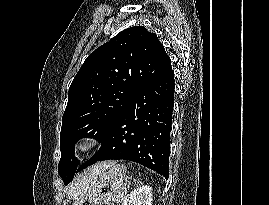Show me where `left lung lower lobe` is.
<instances>
[{
  "label": "left lung lower lobe",
  "mask_w": 269,
  "mask_h": 205,
  "mask_svg": "<svg viewBox=\"0 0 269 205\" xmlns=\"http://www.w3.org/2000/svg\"><path fill=\"white\" fill-rule=\"evenodd\" d=\"M174 103V71L170 58L157 77L118 116L101 140L99 151L77 172L102 160H130L166 179Z\"/></svg>",
  "instance_id": "left-lung-lower-lobe-1"
}]
</instances>
